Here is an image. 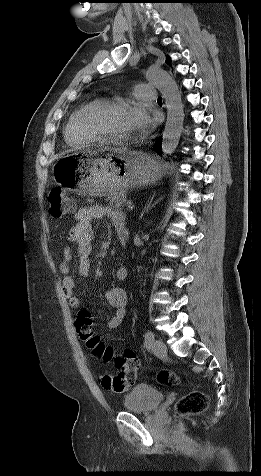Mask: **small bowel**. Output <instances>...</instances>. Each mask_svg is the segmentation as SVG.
I'll return each instance as SVG.
<instances>
[{
    "label": "small bowel",
    "instance_id": "small-bowel-1",
    "mask_svg": "<svg viewBox=\"0 0 261 476\" xmlns=\"http://www.w3.org/2000/svg\"><path fill=\"white\" fill-rule=\"evenodd\" d=\"M108 218L116 232L123 230L126 232V224L124 215L113 208L94 205L79 209L75 214V225L70 229L68 240L76 246L78 255L77 275L86 277L91 268V252L92 240L94 238L93 221ZM72 261V249L69 245L63 248L62 260L60 262V272L64 275L62 281V290L65 298L73 308H79L81 305L80 298L75 295V279L70 275V266ZM128 272L125 267L116 270V278L123 281L127 278ZM106 302L116 309L115 314L108 320L107 327L109 329L118 328L126 316L127 294L124 289L116 286H110L104 291Z\"/></svg>",
    "mask_w": 261,
    "mask_h": 476
}]
</instances>
